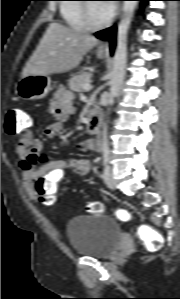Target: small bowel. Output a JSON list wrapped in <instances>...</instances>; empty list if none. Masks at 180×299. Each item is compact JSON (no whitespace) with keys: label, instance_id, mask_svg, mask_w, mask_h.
<instances>
[{"label":"small bowel","instance_id":"1","mask_svg":"<svg viewBox=\"0 0 180 299\" xmlns=\"http://www.w3.org/2000/svg\"><path fill=\"white\" fill-rule=\"evenodd\" d=\"M47 112L51 120L43 132L45 137L54 138L61 132L63 123L74 114L70 93L59 88L49 103ZM79 148L82 151H92L95 143L92 139H85L80 143ZM42 149V141L34 138L30 130L25 129L21 132L16 146V156L21 169L22 187L30 199L38 196L39 184L57 182L69 173L83 176L91 169V162L87 158L49 159L42 154Z\"/></svg>","mask_w":180,"mask_h":299}]
</instances>
